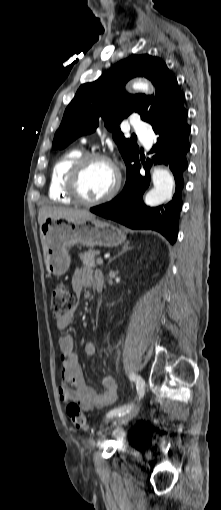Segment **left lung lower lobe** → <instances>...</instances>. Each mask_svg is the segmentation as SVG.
<instances>
[{
	"mask_svg": "<svg viewBox=\"0 0 221 510\" xmlns=\"http://www.w3.org/2000/svg\"><path fill=\"white\" fill-rule=\"evenodd\" d=\"M188 114L174 121L153 128L157 142L152 147L154 155L144 163L145 176L140 174L139 156L127 167V179L123 191L112 201L93 207L91 212L117 221L132 229H150L160 232L171 244L176 241L178 221L182 207L181 191L184 186L183 172L188 167L186 154L190 149ZM164 164L170 168L175 179L172 200L159 207H147L142 200L150 183L149 168L152 164Z\"/></svg>",
	"mask_w": 221,
	"mask_h": 510,
	"instance_id": "0a47b994",
	"label": "left lung lower lobe"
}]
</instances>
